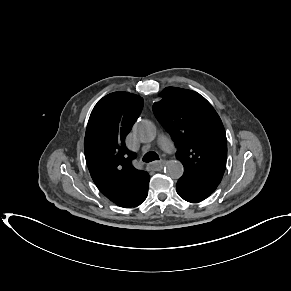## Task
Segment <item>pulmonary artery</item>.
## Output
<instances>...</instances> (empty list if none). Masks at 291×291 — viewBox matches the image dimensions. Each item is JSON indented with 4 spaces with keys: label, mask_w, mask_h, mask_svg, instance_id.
<instances>
[{
    "label": "pulmonary artery",
    "mask_w": 291,
    "mask_h": 291,
    "mask_svg": "<svg viewBox=\"0 0 291 291\" xmlns=\"http://www.w3.org/2000/svg\"><path fill=\"white\" fill-rule=\"evenodd\" d=\"M159 145L165 151H170L173 148L171 141L165 135L159 138Z\"/></svg>",
    "instance_id": "obj_1"
}]
</instances>
